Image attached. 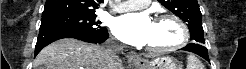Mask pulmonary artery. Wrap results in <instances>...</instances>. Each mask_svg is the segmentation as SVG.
Masks as SVG:
<instances>
[{"instance_id": "e3ab8cb5", "label": "pulmonary artery", "mask_w": 246, "mask_h": 69, "mask_svg": "<svg viewBox=\"0 0 246 69\" xmlns=\"http://www.w3.org/2000/svg\"><path fill=\"white\" fill-rule=\"evenodd\" d=\"M150 1L149 0H129L124 1L118 5L114 12H125L129 10H137L145 7Z\"/></svg>"}]
</instances>
